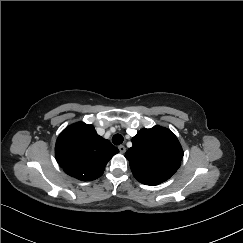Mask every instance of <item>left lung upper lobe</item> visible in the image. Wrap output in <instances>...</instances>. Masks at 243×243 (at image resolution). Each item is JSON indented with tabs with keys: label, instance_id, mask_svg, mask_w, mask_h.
<instances>
[{
	"label": "left lung upper lobe",
	"instance_id": "5c2ea615",
	"mask_svg": "<svg viewBox=\"0 0 243 243\" xmlns=\"http://www.w3.org/2000/svg\"><path fill=\"white\" fill-rule=\"evenodd\" d=\"M125 153L134 177L143 184L157 185L168 180L180 167L182 147L177 137L160 126L142 129L132 138Z\"/></svg>",
	"mask_w": 243,
	"mask_h": 243
}]
</instances>
